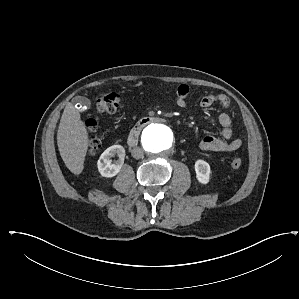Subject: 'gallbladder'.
<instances>
[{
  "instance_id": "gallbladder-1",
  "label": "gallbladder",
  "mask_w": 299,
  "mask_h": 299,
  "mask_svg": "<svg viewBox=\"0 0 299 299\" xmlns=\"http://www.w3.org/2000/svg\"><path fill=\"white\" fill-rule=\"evenodd\" d=\"M73 102L87 107L90 106V100L88 98L81 97V96L76 97Z\"/></svg>"
}]
</instances>
